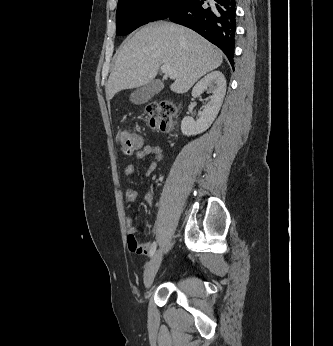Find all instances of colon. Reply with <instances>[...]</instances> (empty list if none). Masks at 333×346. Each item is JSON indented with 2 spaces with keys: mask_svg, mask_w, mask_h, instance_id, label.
<instances>
[{
  "mask_svg": "<svg viewBox=\"0 0 333 346\" xmlns=\"http://www.w3.org/2000/svg\"><path fill=\"white\" fill-rule=\"evenodd\" d=\"M176 113V106L171 101L154 103L146 108V114L151 128L167 132L172 127V117ZM117 141L124 154L130 155L139 150L142 145L140 134L128 129H121L117 133Z\"/></svg>",
  "mask_w": 333,
  "mask_h": 346,
  "instance_id": "obj_1",
  "label": "colon"
}]
</instances>
